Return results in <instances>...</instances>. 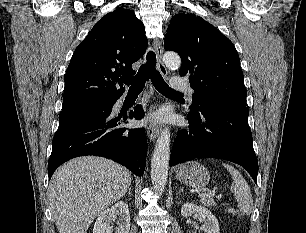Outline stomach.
<instances>
[{
	"mask_svg": "<svg viewBox=\"0 0 306 233\" xmlns=\"http://www.w3.org/2000/svg\"><path fill=\"white\" fill-rule=\"evenodd\" d=\"M176 177L181 183L193 188H202L210 180L208 170L197 161L182 164L176 172Z\"/></svg>",
	"mask_w": 306,
	"mask_h": 233,
	"instance_id": "0dacf381",
	"label": "stomach"
}]
</instances>
